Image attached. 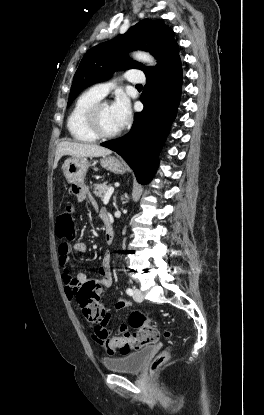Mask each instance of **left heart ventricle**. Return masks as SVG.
Here are the masks:
<instances>
[{
  "label": "left heart ventricle",
  "mask_w": 264,
  "mask_h": 415,
  "mask_svg": "<svg viewBox=\"0 0 264 415\" xmlns=\"http://www.w3.org/2000/svg\"><path fill=\"white\" fill-rule=\"evenodd\" d=\"M100 126L104 133L110 134L120 129V124L112 110L111 105H105L100 111Z\"/></svg>",
  "instance_id": "1"
}]
</instances>
